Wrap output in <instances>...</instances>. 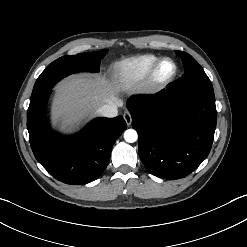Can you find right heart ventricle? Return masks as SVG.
Wrapping results in <instances>:
<instances>
[{
    "label": "right heart ventricle",
    "instance_id": "obj_1",
    "mask_svg": "<svg viewBox=\"0 0 247 247\" xmlns=\"http://www.w3.org/2000/svg\"><path fill=\"white\" fill-rule=\"evenodd\" d=\"M159 59L158 56L148 54L122 60L114 65L113 75L122 88L131 89L148 77Z\"/></svg>",
    "mask_w": 247,
    "mask_h": 247
}]
</instances>
